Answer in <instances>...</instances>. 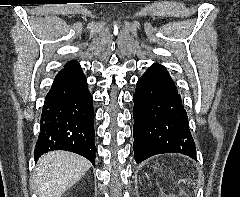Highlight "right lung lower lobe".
Here are the masks:
<instances>
[{
  "label": "right lung lower lobe",
  "mask_w": 240,
  "mask_h": 197,
  "mask_svg": "<svg viewBox=\"0 0 240 197\" xmlns=\"http://www.w3.org/2000/svg\"><path fill=\"white\" fill-rule=\"evenodd\" d=\"M93 119L92 96L80 65L66 66L45 98L35 160L48 151L66 150L95 165Z\"/></svg>",
  "instance_id": "right-lung-lower-lobe-1"
}]
</instances>
